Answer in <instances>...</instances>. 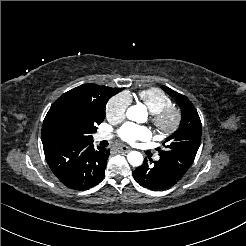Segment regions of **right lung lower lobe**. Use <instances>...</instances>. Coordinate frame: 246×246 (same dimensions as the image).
I'll return each mask as SVG.
<instances>
[{"mask_svg": "<svg viewBox=\"0 0 246 246\" xmlns=\"http://www.w3.org/2000/svg\"><path fill=\"white\" fill-rule=\"evenodd\" d=\"M43 149L53 173L67 187L87 190L104 177L110 150L91 142H46Z\"/></svg>", "mask_w": 246, "mask_h": 246, "instance_id": "1", "label": "right lung lower lobe"}]
</instances>
